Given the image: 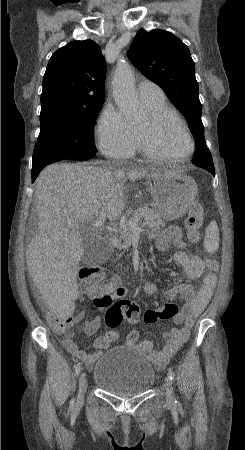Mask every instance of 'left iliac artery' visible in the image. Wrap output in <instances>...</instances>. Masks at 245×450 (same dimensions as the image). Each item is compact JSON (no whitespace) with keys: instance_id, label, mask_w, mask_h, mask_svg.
I'll return each mask as SVG.
<instances>
[{"instance_id":"left-iliac-artery-1","label":"left iliac artery","mask_w":245,"mask_h":450,"mask_svg":"<svg viewBox=\"0 0 245 450\" xmlns=\"http://www.w3.org/2000/svg\"><path fill=\"white\" fill-rule=\"evenodd\" d=\"M168 375H169L170 379L174 382L175 381V374H174V372L171 369H169ZM175 402H177V401H175Z\"/></svg>"}]
</instances>
